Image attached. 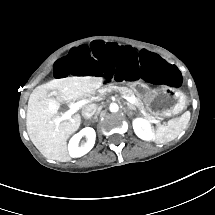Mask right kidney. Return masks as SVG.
<instances>
[{
    "label": "right kidney",
    "instance_id": "1",
    "mask_svg": "<svg viewBox=\"0 0 215 215\" xmlns=\"http://www.w3.org/2000/svg\"><path fill=\"white\" fill-rule=\"evenodd\" d=\"M86 135L88 140L87 142L79 147V141L82 138V136ZM96 139V133L95 130L91 127H85L83 128L79 133L75 134L69 141L68 150L69 154L73 158L81 157L85 154H87L94 146Z\"/></svg>",
    "mask_w": 215,
    "mask_h": 215
}]
</instances>
